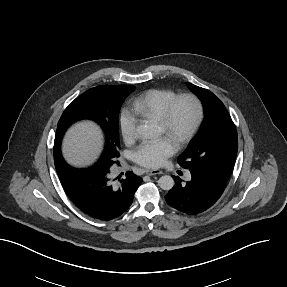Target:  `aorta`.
I'll return each instance as SVG.
<instances>
[{"label":"aorta","instance_id":"762f6f07","mask_svg":"<svg viewBox=\"0 0 287 287\" xmlns=\"http://www.w3.org/2000/svg\"><path fill=\"white\" fill-rule=\"evenodd\" d=\"M156 131V127L151 124H142L137 127V132L143 137L152 136ZM175 182L169 175L161 176L158 180V185L163 190H170L173 188Z\"/></svg>","mask_w":287,"mask_h":287}]
</instances>
